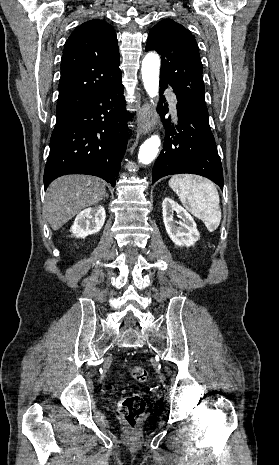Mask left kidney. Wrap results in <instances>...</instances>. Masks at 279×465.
Masks as SVG:
<instances>
[{"mask_svg":"<svg viewBox=\"0 0 279 465\" xmlns=\"http://www.w3.org/2000/svg\"><path fill=\"white\" fill-rule=\"evenodd\" d=\"M162 211L166 232L175 245L190 247L199 240L200 234L193 217L172 198L166 197L163 200ZM174 211L180 221L174 220Z\"/></svg>","mask_w":279,"mask_h":465,"instance_id":"left-kidney-1","label":"left kidney"}]
</instances>
